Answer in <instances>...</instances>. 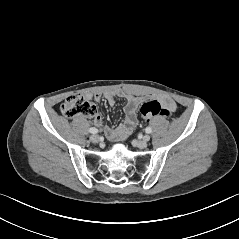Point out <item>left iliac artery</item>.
Returning <instances> with one entry per match:
<instances>
[{"instance_id":"44dca946","label":"left iliac artery","mask_w":239,"mask_h":239,"mask_svg":"<svg viewBox=\"0 0 239 239\" xmlns=\"http://www.w3.org/2000/svg\"><path fill=\"white\" fill-rule=\"evenodd\" d=\"M145 131H146V133L150 134V133L152 132V129H151L150 127H147V128L145 129Z\"/></svg>"}]
</instances>
